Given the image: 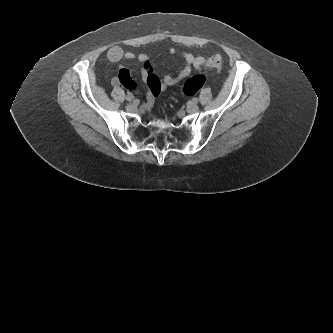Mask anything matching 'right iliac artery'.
I'll return each instance as SVG.
<instances>
[{
    "label": "right iliac artery",
    "instance_id": "obj_1",
    "mask_svg": "<svg viewBox=\"0 0 333 333\" xmlns=\"http://www.w3.org/2000/svg\"><path fill=\"white\" fill-rule=\"evenodd\" d=\"M126 99L128 100V101H132L133 100V96L132 95H127L126 96ZM137 101V100H136Z\"/></svg>",
    "mask_w": 333,
    "mask_h": 333
}]
</instances>
